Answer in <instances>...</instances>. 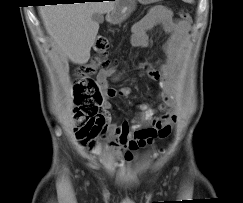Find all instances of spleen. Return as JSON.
Returning <instances> with one entry per match:
<instances>
[{"mask_svg": "<svg viewBox=\"0 0 243 203\" xmlns=\"http://www.w3.org/2000/svg\"><path fill=\"white\" fill-rule=\"evenodd\" d=\"M184 1L189 3L193 2V0H184Z\"/></svg>", "mask_w": 243, "mask_h": 203, "instance_id": "spleen-1", "label": "spleen"}]
</instances>
